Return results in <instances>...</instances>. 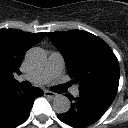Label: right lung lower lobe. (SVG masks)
I'll return each instance as SVG.
<instances>
[{"label":"right lung lower lobe","instance_id":"obj_1","mask_svg":"<svg viewBox=\"0 0 128 128\" xmlns=\"http://www.w3.org/2000/svg\"><path fill=\"white\" fill-rule=\"evenodd\" d=\"M42 95L37 87L25 89L19 84L0 92V128H14L25 122L34 99Z\"/></svg>","mask_w":128,"mask_h":128}]
</instances>
